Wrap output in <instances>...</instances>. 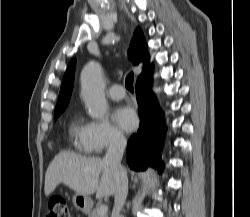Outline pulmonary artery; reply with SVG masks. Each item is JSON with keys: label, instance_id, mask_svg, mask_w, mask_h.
<instances>
[{"label": "pulmonary artery", "instance_id": "pulmonary-artery-1", "mask_svg": "<svg viewBox=\"0 0 250 217\" xmlns=\"http://www.w3.org/2000/svg\"><path fill=\"white\" fill-rule=\"evenodd\" d=\"M107 95L113 100H121L125 97V90L121 85L114 84L108 89Z\"/></svg>", "mask_w": 250, "mask_h": 217}]
</instances>
